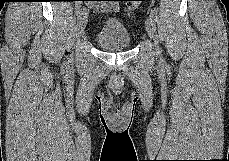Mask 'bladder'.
I'll return each instance as SVG.
<instances>
[{
	"mask_svg": "<svg viewBox=\"0 0 229 161\" xmlns=\"http://www.w3.org/2000/svg\"><path fill=\"white\" fill-rule=\"evenodd\" d=\"M95 41L98 46L106 51H121L130 47L131 37L124 24L115 17L103 20Z\"/></svg>",
	"mask_w": 229,
	"mask_h": 161,
	"instance_id": "31cf9c89",
	"label": "bladder"
}]
</instances>
